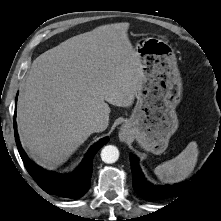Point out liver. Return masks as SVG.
<instances>
[{"label": "liver", "mask_w": 221, "mask_h": 221, "mask_svg": "<svg viewBox=\"0 0 221 221\" xmlns=\"http://www.w3.org/2000/svg\"><path fill=\"white\" fill-rule=\"evenodd\" d=\"M129 23L103 25L38 56L20 91L17 125L21 143L41 166L55 168L93 133L108 105H132L142 79Z\"/></svg>", "instance_id": "6515ba94"}]
</instances>
